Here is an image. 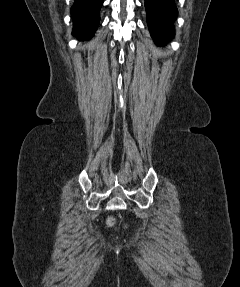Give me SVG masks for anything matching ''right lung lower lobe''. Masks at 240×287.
Returning <instances> with one entry per match:
<instances>
[{
    "label": "right lung lower lobe",
    "instance_id": "right-lung-lower-lobe-1",
    "mask_svg": "<svg viewBox=\"0 0 240 287\" xmlns=\"http://www.w3.org/2000/svg\"><path fill=\"white\" fill-rule=\"evenodd\" d=\"M103 0H75L71 7L73 32L79 40H88L95 33Z\"/></svg>",
    "mask_w": 240,
    "mask_h": 287
}]
</instances>
